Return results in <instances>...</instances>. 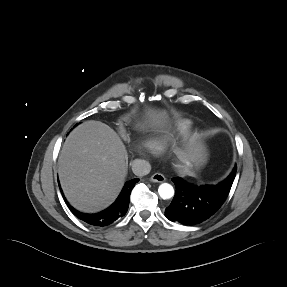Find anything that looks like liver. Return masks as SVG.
I'll list each match as a JSON object with an SVG mask.
<instances>
[{"instance_id":"liver-1","label":"liver","mask_w":287,"mask_h":287,"mask_svg":"<svg viewBox=\"0 0 287 287\" xmlns=\"http://www.w3.org/2000/svg\"><path fill=\"white\" fill-rule=\"evenodd\" d=\"M163 110L148 108L140 129L167 125ZM176 154L183 164L175 165L182 175H193L192 163L205 162L203 145L190 138ZM63 192L76 209L93 213L109 206L120 193L127 175V150L118 134L100 121L78 125L66 138L58 160Z\"/></svg>"}]
</instances>
